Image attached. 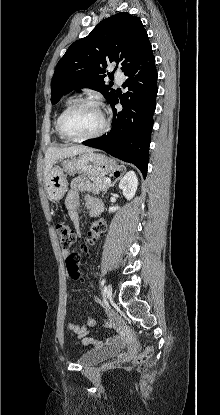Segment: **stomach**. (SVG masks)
<instances>
[{
	"label": "stomach",
	"instance_id": "stomach-1",
	"mask_svg": "<svg viewBox=\"0 0 220 415\" xmlns=\"http://www.w3.org/2000/svg\"><path fill=\"white\" fill-rule=\"evenodd\" d=\"M120 167L107 156L89 151L80 154L77 158L63 162V169L52 168L45 179L47 195L52 200L63 198L68 189L67 174L77 172L91 176H104L119 171Z\"/></svg>",
	"mask_w": 220,
	"mask_h": 415
}]
</instances>
